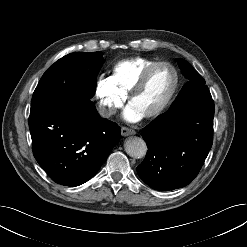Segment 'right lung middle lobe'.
Wrapping results in <instances>:
<instances>
[{
	"instance_id": "1",
	"label": "right lung middle lobe",
	"mask_w": 247,
	"mask_h": 247,
	"mask_svg": "<svg viewBox=\"0 0 247 247\" xmlns=\"http://www.w3.org/2000/svg\"><path fill=\"white\" fill-rule=\"evenodd\" d=\"M102 52H75L56 61L43 74L37 85L30 112L50 101L71 106L91 104L95 93L96 78L104 62Z\"/></svg>"
}]
</instances>
